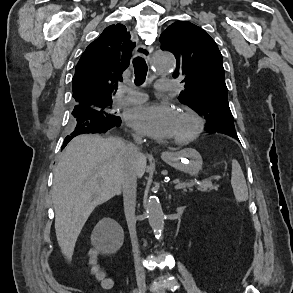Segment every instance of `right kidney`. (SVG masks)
Masks as SVG:
<instances>
[{"label":"right kidney","instance_id":"1","mask_svg":"<svg viewBox=\"0 0 293 293\" xmlns=\"http://www.w3.org/2000/svg\"><path fill=\"white\" fill-rule=\"evenodd\" d=\"M109 223V233L101 242V249L108 254L117 252L122 246L124 240L123 230L118 223L114 220H110Z\"/></svg>","mask_w":293,"mask_h":293}]
</instances>
